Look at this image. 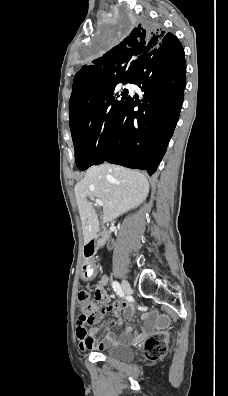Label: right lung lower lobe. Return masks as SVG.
Instances as JSON below:
<instances>
[{
	"mask_svg": "<svg viewBox=\"0 0 228 396\" xmlns=\"http://www.w3.org/2000/svg\"><path fill=\"white\" fill-rule=\"evenodd\" d=\"M163 49L143 58L129 80L144 94L125 98L104 162L152 175L162 160L182 107L186 73L182 45Z\"/></svg>",
	"mask_w": 228,
	"mask_h": 396,
	"instance_id": "right-lung-lower-lobe-1",
	"label": "right lung lower lobe"
}]
</instances>
